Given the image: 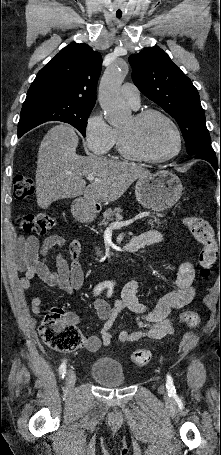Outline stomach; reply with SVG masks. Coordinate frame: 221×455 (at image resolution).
Wrapping results in <instances>:
<instances>
[{
    "mask_svg": "<svg viewBox=\"0 0 221 455\" xmlns=\"http://www.w3.org/2000/svg\"><path fill=\"white\" fill-rule=\"evenodd\" d=\"M182 191L180 179L168 170L140 177L135 185L137 201L154 211H164L174 206L180 199ZM78 202L81 206L76 208L77 214L84 221H92L95 217L93 203L87 200H77Z\"/></svg>",
    "mask_w": 221,
    "mask_h": 455,
    "instance_id": "stomach-1",
    "label": "stomach"
}]
</instances>
